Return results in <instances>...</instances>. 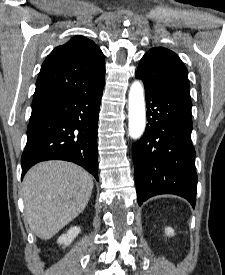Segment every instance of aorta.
Segmentation results:
<instances>
[{
    "label": "aorta",
    "mask_w": 225,
    "mask_h": 275,
    "mask_svg": "<svg viewBox=\"0 0 225 275\" xmlns=\"http://www.w3.org/2000/svg\"><path fill=\"white\" fill-rule=\"evenodd\" d=\"M129 135L133 139H139L146 126V111L144 100V88L141 81H134L128 96Z\"/></svg>",
    "instance_id": "obj_1"
}]
</instances>
